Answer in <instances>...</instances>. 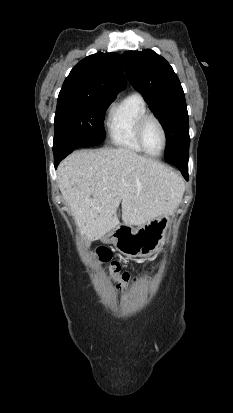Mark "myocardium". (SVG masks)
Segmentation results:
<instances>
[{"instance_id":"f54148a6","label":"myocardium","mask_w":233,"mask_h":413,"mask_svg":"<svg viewBox=\"0 0 233 413\" xmlns=\"http://www.w3.org/2000/svg\"><path fill=\"white\" fill-rule=\"evenodd\" d=\"M149 120H154L158 124V126H159V128L162 132L163 144H162L161 150L158 153H151L150 151H148V149L146 148L145 143H144L143 131H144V127H145L146 123ZM135 134H136V139H137L138 144L140 145L142 150L149 156L157 157V156L161 155L164 152V150L167 146V132H166V129L164 127V124L162 123L160 118L157 117L153 113L146 112L145 114H143L138 119L137 124H136V128H135Z\"/></svg>"}]
</instances>
